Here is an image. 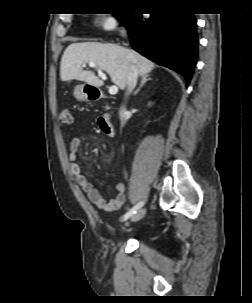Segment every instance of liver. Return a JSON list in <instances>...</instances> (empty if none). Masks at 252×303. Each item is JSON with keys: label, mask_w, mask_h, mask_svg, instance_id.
<instances>
[{"label": "liver", "mask_w": 252, "mask_h": 303, "mask_svg": "<svg viewBox=\"0 0 252 303\" xmlns=\"http://www.w3.org/2000/svg\"><path fill=\"white\" fill-rule=\"evenodd\" d=\"M95 63L100 69L106 71L114 84L120 89L127 86L129 68L134 65L139 75H147L155 65L152 61L139 53L119 45L98 42H83L70 44L61 59L60 79L83 81L89 85L100 87L103 81L92 71L83 70L85 63Z\"/></svg>", "instance_id": "1"}]
</instances>
